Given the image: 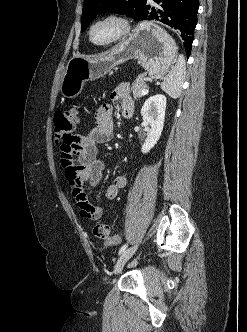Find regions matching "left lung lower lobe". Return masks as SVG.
Masks as SVG:
<instances>
[{"instance_id":"0a47b994","label":"left lung lower lobe","mask_w":247,"mask_h":332,"mask_svg":"<svg viewBox=\"0 0 247 332\" xmlns=\"http://www.w3.org/2000/svg\"><path fill=\"white\" fill-rule=\"evenodd\" d=\"M146 2L140 20H158L175 29L185 46L187 56L191 53L194 29L197 24L199 0H152Z\"/></svg>"}]
</instances>
